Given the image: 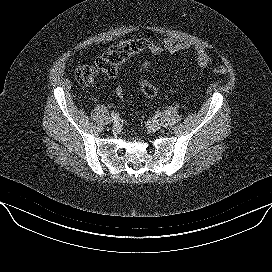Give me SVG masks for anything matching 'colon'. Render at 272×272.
Segmentation results:
<instances>
[{"mask_svg": "<svg viewBox=\"0 0 272 272\" xmlns=\"http://www.w3.org/2000/svg\"><path fill=\"white\" fill-rule=\"evenodd\" d=\"M147 41L143 39H133L121 44L110 47L101 54L93 64H84L75 71V79L82 86H92L96 83L99 75H113L117 66L127 60L129 57L141 52L146 48ZM148 63L142 66L141 71L145 72ZM217 74H224L226 69L223 66H217L213 69ZM140 90L148 97H156L159 91L151 85L144 77L139 80ZM115 93L118 98H123V89L117 87Z\"/></svg>", "mask_w": 272, "mask_h": 272, "instance_id": "colon-1", "label": "colon"}]
</instances>
